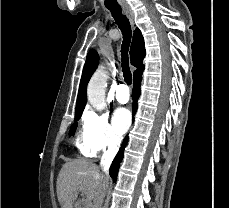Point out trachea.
<instances>
[{
    "mask_svg": "<svg viewBox=\"0 0 229 208\" xmlns=\"http://www.w3.org/2000/svg\"><path fill=\"white\" fill-rule=\"evenodd\" d=\"M110 10L112 17L117 23L119 29L123 35V42L121 46V66L123 71V77L127 85L132 83V74L129 68L128 51L131 43L132 30L128 18L123 15L121 7H106Z\"/></svg>",
    "mask_w": 229,
    "mask_h": 208,
    "instance_id": "3493384b",
    "label": "trachea"
}]
</instances>
